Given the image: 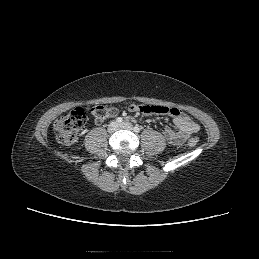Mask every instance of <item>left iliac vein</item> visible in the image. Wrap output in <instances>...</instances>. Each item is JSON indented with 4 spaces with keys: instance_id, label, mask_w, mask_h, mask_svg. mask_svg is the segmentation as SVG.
Listing matches in <instances>:
<instances>
[{
    "instance_id": "1",
    "label": "left iliac vein",
    "mask_w": 259,
    "mask_h": 259,
    "mask_svg": "<svg viewBox=\"0 0 259 259\" xmlns=\"http://www.w3.org/2000/svg\"><path fill=\"white\" fill-rule=\"evenodd\" d=\"M121 129H127V130H134L133 126L129 122H123L122 124L119 125Z\"/></svg>"
}]
</instances>
